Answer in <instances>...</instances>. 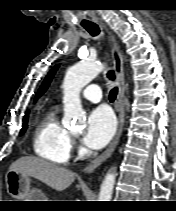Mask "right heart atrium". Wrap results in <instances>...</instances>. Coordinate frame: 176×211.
<instances>
[{"mask_svg": "<svg viewBox=\"0 0 176 211\" xmlns=\"http://www.w3.org/2000/svg\"><path fill=\"white\" fill-rule=\"evenodd\" d=\"M72 146L77 147V142L75 140H72Z\"/></svg>", "mask_w": 176, "mask_h": 211, "instance_id": "d8ad5b80", "label": "right heart atrium"}]
</instances>
